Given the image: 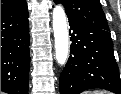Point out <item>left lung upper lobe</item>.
<instances>
[{
    "mask_svg": "<svg viewBox=\"0 0 121 94\" xmlns=\"http://www.w3.org/2000/svg\"><path fill=\"white\" fill-rule=\"evenodd\" d=\"M54 1L64 5L68 18L110 31L99 0Z\"/></svg>",
    "mask_w": 121,
    "mask_h": 94,
    "instance_id": "1",
    "label": "left lung upper lobe"
}]
</instances>
